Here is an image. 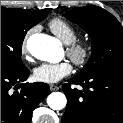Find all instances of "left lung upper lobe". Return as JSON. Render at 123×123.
Returning <instances> with one entry per match:
<instances>
[{
    "mask_svg": "<svg viewBox=\"0 0 123 123\" xmlns=\"http://www.w3.org/2000/svg\"><path fill=\"white\" fill-rule=\"evenodd\" d=\"M65 16L92 39V55L77 76L86 77L103 68L123 66V27L112 14L97 6H86L74 8Z\"/></svg>",
    "mask_w": 123,
    "mask_h": 123,
    "instance_id": "left-lung-upper-lobe-1",
    "label": "left lung upper lobe"
}]
</instances>
